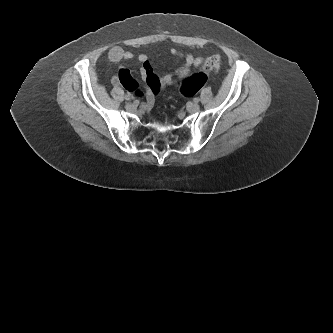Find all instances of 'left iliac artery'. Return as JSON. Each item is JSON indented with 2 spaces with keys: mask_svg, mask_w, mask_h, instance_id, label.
<instances>
[{
  "mask_svg": "<svg viewBox=\"0 0 333 333\" xmlns=\"http://www.w3.org/2000/svg\"><path fill=\"white\" fill-rule=\"evenodd\" d=\"M199 100H200L199 98H194V99H193V101H194L195 103H198Z\"/></svg>",
  "mask_w": 333,
  "mask_h": 333,
  "instance_id": "1",
  "label": "left iliac artery"
}]
</instances>
